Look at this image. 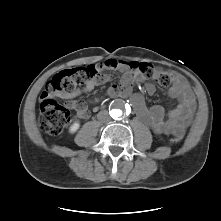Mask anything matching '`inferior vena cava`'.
<instances>
[{"label":"inferior vena cava","instance_id":"1","mask_svg":"<svg viewBox=\"0 0 221 221\" xmlns=\"http://www.w3.org/2000/svg\"><path fill=\"white\" fill-rule=\"evenodd\" d=\"M97 118L104 123H107L111 120L110 116L106 111H101L98 113Z\"/></svg>","mask_w":221,"mask_h":221}]
</instances>
